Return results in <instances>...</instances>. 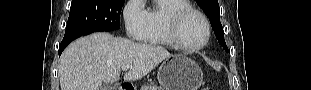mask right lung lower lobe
<instances>
[{
	"label": "right lung lower lobe",
	"instance_id": "obj_1",
	"mask_svg": "<svg viewBox=\"0 0 311 90\" xmlns=\"http://www.w3.org/2000/svg\"><path fill=\"white\" fill-rule=\"evenodd\" d=\"M69 43H61L60 47H59V55H61L62 51L65 49V47L68 45Z\"/></svg>",
	"mask_w": 311,
	"mask_h": 90
}]
</instances>
